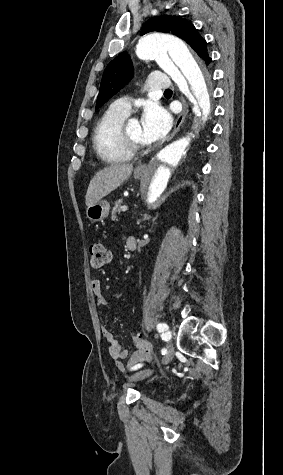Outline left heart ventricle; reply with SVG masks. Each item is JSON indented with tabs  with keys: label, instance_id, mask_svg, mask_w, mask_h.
<instances>
[{
	"label": "left heart ventricle",
	"instance_id": "obj_1",
	"mask_svg": "<svg viewBox=\"0 0 283 475\" xmlns=\"http://www.w3.org/2000/svg\"><path fill=\"white\" fill-rule=\"evenodd\" d=\"M128 137L137 143H148L143 137L141 123L136 119L131 125L126 127Z\"/></svg>",
	"mask_w": 283,
	"mask_h": 475
}]
</instances>
